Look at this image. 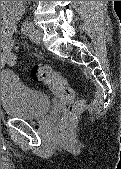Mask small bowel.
Segmentation results:
<instances>
[{
  "label": "small bowel",
  "instance_id": "small-bowel-1",
  "mask_svg": "<svg viewBox=\"0 0 121 169\" xmlns=\"http://www.w3.org/2000/svg\"><path fill=\"white\" fill-rule=\"evenodd\" d=\"M23 10V5L21 1H6L2 8L1 17V29L3 34L2 44H7V42H13L14 40L7 39L6 33H15V25L20 18ZM1 63L5 65V60L3 56L1 57Z\"/></svg>",
  "mask_w": 121,
  "mask_h": 169
}]
</instances>
